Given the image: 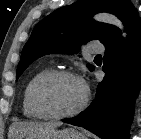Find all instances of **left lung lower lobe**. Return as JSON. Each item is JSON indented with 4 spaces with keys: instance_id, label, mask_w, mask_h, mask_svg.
Listing matches in <instances>:
<instances>
[{
    "instance_id": "1",
    "label": "left lung lower lobe",
    "mask_w": 141,
    "mask_h": 139,
    "mask_svg": "<svg viewBox=\"0 0 141 139\" xmlns=\"http://www.w3.org/2000/svg\"><path fill=\"white\" fill-rule=\"evenodd\" d=\"M105 44L103 71L95 100L81 114L63 122L84 127L103 139H129L135 99L141 85V19Z\"/></svg>"
}]
</instances>
